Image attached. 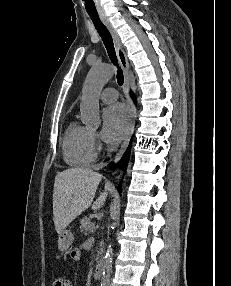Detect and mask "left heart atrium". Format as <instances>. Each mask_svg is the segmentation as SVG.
<instances>
[{"mask_svg": "<svg viewBox=\"0 0 231 286\" xmlns=\"http://www.w3.org/2000/svg\"><path fill=\"white\" fill-rule=\"evenodd\" d=\"M129 115L127 109L121 104H114L103 112V138L109 143H117L126 134Z\"/></svg>", "mask_w": 231, "mask_h": 286, "instance_id": "1", "label": "left heart atrium"}]
</instances>
